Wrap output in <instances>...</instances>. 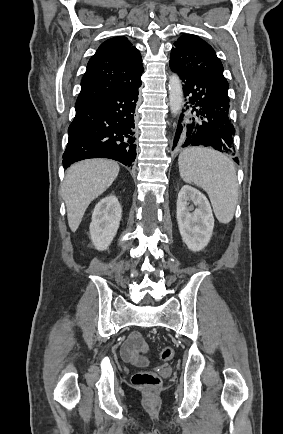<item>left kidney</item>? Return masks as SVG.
Returning <instances> with one entry per match:
<instances>
[{"mask_svg":"<svg viewBox=\"0 0 283 434\" xmlns=\"http://www.w3.org/2000/svg\"><path fill=\"white\" fill-rule=\"evenodd\" d=\"M193 203L196 206L190 205ZM177 223L183 242L193 252L207 246L213 233L214 217L210 203L199 190L185 185L177 199Z\"/></svg>","mask_w":283,"mask_h":434,"instance_id":"1","label":"left kidney"}]
</instances>
